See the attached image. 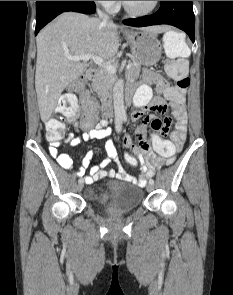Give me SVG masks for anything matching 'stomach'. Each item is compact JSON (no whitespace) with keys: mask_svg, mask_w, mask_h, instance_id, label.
I'll list each match as a JSON object with an SVG mask.
<instances>
[{"mask_svg":"<svg viewBox=\"0 0 233 295\" xmlns=\"http://www.w3.org/2000/svg\"><path fill=\"white\" fill-rule=\"evenodd\" d=\"M124 36L131 46L133 57L144 66L155 65L161 58L162 48L157 32L150 28L128 30Z\"/></svg>","mask_w":233,"mask_h":295,"instance_id":"1","label":"stomach"}]
</instances>
